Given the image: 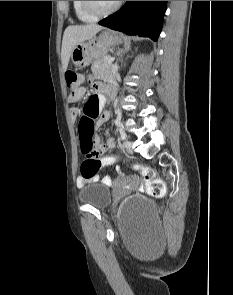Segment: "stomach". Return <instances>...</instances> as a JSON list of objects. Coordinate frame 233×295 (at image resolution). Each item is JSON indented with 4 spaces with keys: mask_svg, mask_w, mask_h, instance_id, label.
I'll list each match as a JSON object with an SVG mask.
<instances>
[{
    "mask_svg": "<svg viewBox=\"0 0 233 295\" xmlns=\"http://www.w3.org/2000/svg\"><path fill=\"white\" fill-rule=\"evenodd\" d=\"M120 42V36L112 31H102L98 36L77 44L71 52V60L76 67L84 68L94 60L104 58L110 47Z\"/></svg>",
    "mask_w": 233,
    "mask_h": 295,
    "instance_id": "obj_1",
    "label": "stomach"
}]
</instances>
